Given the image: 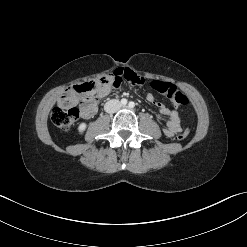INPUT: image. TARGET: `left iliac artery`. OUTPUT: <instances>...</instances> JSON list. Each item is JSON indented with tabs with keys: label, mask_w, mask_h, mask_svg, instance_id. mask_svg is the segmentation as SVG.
I'll return each mask as SVG.
<instances>
[{
	"label": "left iliac artery",
	"mask_w": 247,
	"mask_h": 247,
	"mask_svg": "<svg viewBox=\"0 0 247 247\" xmlns=\"http://www.w3.org/2000/svg\"><path fill=\"white\" fill-rule=\"evenodd\" d=\"M128 106H129L130 108H134L135 103L131 101V102H129Z\"/></svg>",
	"instance_id": "1"
}]
</instances>
